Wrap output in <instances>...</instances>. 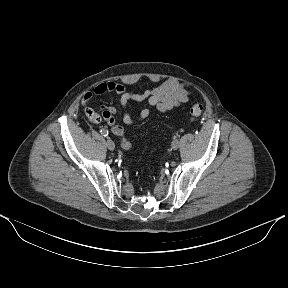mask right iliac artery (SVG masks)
Wrapping results in <instances>:
<instances>
[{"label": "right iliac artery", "mask_w": 288, "mask_h": 288, "mask_svg": "<svg viewBox=\"0 0 288 288\" xmlns=\"http://www.w3.org/2000/svg\"><path fill=\"white\" fill-rule=\"evenodd\" d=\"M100 133H101L104 137L108 136V130H106V129H101Z\"/></svg>", "instance_id": "obj_1"}]
</instances>
